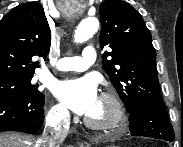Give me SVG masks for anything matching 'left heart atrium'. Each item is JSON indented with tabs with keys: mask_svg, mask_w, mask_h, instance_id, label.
Masks as SVG:
<instances>
[{
	"mask_svg": "<svg viewBox=\"0 0 183 147\" xmlns=\"http://www.w3.org/2000/svg\"><path fill=\"white\" fill-rule=\"evenodd\" d=\"M53 91L67 108L80 115H87L99 99L97 84L89 76L58 81Z\"/></svg>",
	"mask_w": 183,
	"mask_h": 147,
	"instance_id": "1",
	"label": "left heart atrium"
}]
</instances>
